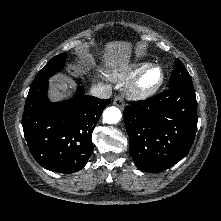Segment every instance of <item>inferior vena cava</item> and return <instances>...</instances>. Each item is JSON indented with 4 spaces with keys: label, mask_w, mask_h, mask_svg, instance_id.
Here are the masks:
<instances>
[{
    "label": "inferior vena cava",
    "mask_w": 221,
    "mask_h": 221,
    "mask_svg": "<svg viewBox=\"0 0 221 221\" xmlns=\"http://www.w3.org/2000/svg\"><path fill=\"white\" fill-rule=\"evenodd\" d=\"M90 93L95 97L106 99L111 96L112 88L110 85L98 83L91 87Z\"/></svg>",
    "instance_id": "1"
}]
</instances>
